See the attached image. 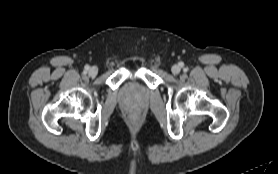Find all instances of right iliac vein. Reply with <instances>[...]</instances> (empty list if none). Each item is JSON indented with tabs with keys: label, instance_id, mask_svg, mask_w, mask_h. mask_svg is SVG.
Returning a JSON list of instances; mask_svg holds the SVG:
<instances>
[{
	"label": "right iliac vein",
	"instance_id": "obj_1",
	"mask_svg": "<svg viewBox=\"0 0 278 174\" xmlns=\"http://www.w3.org/2000/svg\"><path fill=\"white\" fill-rule=\"evenodd\" d=\"M88 73L91 77H95L98 73V68L93 66V67L90 68Z\"/></svg>",
	"mask_w": 278,
	"mask_h": 174
}]
</instances>
